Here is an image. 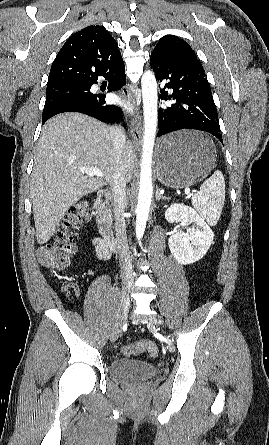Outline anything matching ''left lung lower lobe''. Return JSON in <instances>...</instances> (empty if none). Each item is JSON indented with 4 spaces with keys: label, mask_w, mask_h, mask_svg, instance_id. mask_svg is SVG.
Instances as JSON below:
<instances>
[{
    "label": "left lung lower lobe",
    "mask_w": 269,
    "mask_h": 445,
    "mask_svg": "<svg viewBox=\"0 0 269 445\" xmlns=\"http://www.w3.org/2000/svg\"><path fill=\"white\" fill-rule=\"evenodd\" d=\"M150 66L164 84L160 98L176 103L159 108L158 136L183 129L209 132L222 143V135L210 85L198 60H168L151 54ZM165 88L173 90L168 94Z\"/></svg>",
    "instance_id": "0a47b994"
}]
</instances>
